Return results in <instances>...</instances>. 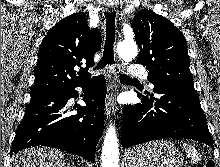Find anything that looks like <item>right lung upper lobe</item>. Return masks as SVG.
<instances>
[{"instance_id":"cb5924a9","label":"right lung upper lobe","mask_w":220,"mask_h":167,"mask_svg":"<svg viewBox=\"0 0 220 167\" xmlns=\"http://www.w3.org/2000/svg\"><path fill=\"white\" fill-rule=\"evenodd\" d=\"M101 33L90 29L85 13H74L59 21L44 37L35 67L31 95L65 89L90 78L88 68L101 46ZM86 64L79 72L75 66Z\"/></svg>"}]
</instances>
